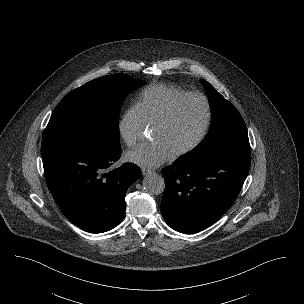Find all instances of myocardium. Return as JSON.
<instances>
[{
  "label": "myocardium",
  "instance_id": "f54148a6",
  "mask_svg": "<svg viewBox=\"0 0 304 304\" xmlns=\"http://www.w3.org/2000/svg\"><path fill=\"white\" fill-rule=\"evenodd\" d=\"M193 98L200 99L204 103L205 120H204L203 126L201 128V131L198 134V136L196 137V139L191 144H189L187 147L177 151L173 155L174 158H180V157H183V156H186V155L192 153L205 140V138L209 132L211 122H212V106H211L210 100L208 99V97L206 95H204L200 92H189V93L177 98L174 102H172V104L168 107V109L165 111V113L153 125V128H159V127L166 125L172 119V117L174 116L175 112L180 107V105L182 103H184L185 101H187L189 99H193Z\"/></svg>",
  "mask_w": 304,
  "mask_h": 304
}]
</instances>
